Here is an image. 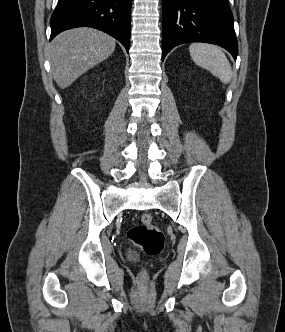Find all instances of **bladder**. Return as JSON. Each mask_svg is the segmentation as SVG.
Listing matches in <instances>:
<instances>
[{
  "instance_id": "bladder-1",
  "label": "bladder",
  "mask_w": 285,
  "mask_h": 332,
  "mask_svg": "<svg viewBox=\"0 0 285 332\" xmlns=\"http://www.w3.org/2000/svg\"><path fill=\"white\" fill-rule=\"evenodd\" d=\"M127 256H128L129 258H132V257L134 256V253H133L132 251H128V252H127Z\"/></svg>"
}]
</instances>
